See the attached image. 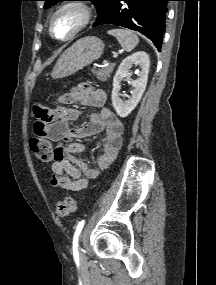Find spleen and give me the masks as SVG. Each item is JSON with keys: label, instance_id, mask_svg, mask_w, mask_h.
Returning a JSON list of instances; mask_svg holds the SVG:
<instances>
[{"label": "spleen", "instance_id": "obj_1", "mask_svg": "<svg viewBox=\"0 0 216 285\" xmlns=\"http://www.w3.org/2000/svg\"><path fill=\"white\" fill-rule=\"evenodd\" d=\"M108 34L114 36L127 52L132 51L139 43L137 35L127 29H112L108 31Z\"/></svg>", "mask_w": 216, "mask_h": 285}]
</instances>
